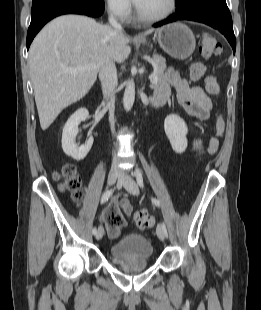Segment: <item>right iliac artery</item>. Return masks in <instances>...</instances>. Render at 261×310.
Instances as JSON below:
<instances>
[{
    "instance_id": "82829eb1",
    "label": "right iliac artery",
    "mask_w": 261,
    "mask_h": 310,
    "mask_svg": "<svg viewBox=\"0 0 261 310\" xmlns=\"http://www.w3.org/2000/svg\"><path fill=\"white\" fill-rule=\"evenodd\" d=\"M113 189H110V190H107L106 192H104V194L102 195V198H101V204H103V203H105L106 201H108V199L110 198V196L112 195V193H113ZM96 233H97V229H96V227H94L93 229H92V234L93 235H96Z\"/></svg>"
}]
</instances>
